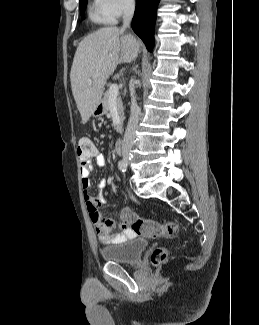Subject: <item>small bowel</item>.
<instances>
[{"mask_svg":"<svg viewBox=\"0 0 259 325\" xmlns=\"http://www.w3.org/2000/svg\"><path fill=\"white\" fill-rule=\"evenodd\" d=\"M93 161L98 167L106 166L104 155L97 149H95L90 159L81 160L80 175L86 209L100 242L103 244H119L134 237L135 233L123 223L117 225L114 220L102 216L100 207L107 201L105 188L108 184V179L102 178L99 181L100 193L98 196H92L89 193L91 174L94 169ZM130 198L133 199L131 195Z\"/></svg>","mask_w":259,"mask_h":325,"instance_id":"c3829d8e","label":"small bowel"}]
</instances>
